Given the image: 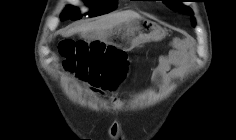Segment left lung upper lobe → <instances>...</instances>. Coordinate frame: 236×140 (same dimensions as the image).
Wrapping results in <instances>:
<instances>
[{
  "label": "left lung upper lobe",
  "mask_w": 236,
  "mask_h": 140,
  "mask_svg": "<svg viewBox=\"0 0 236 140\" xmlns=\"http://www.w3.org/2000/svg\"><path fill=\"white\" fill-rule=\"evenodd\" d=\"M181 2L182 0H164V3L167 4L169 8H171L174 11H177L179 13L193 15V12L190 8L187 6H184ZM195 21L192 18V24L194 25Z\"/></svg>",
  "instance_id": "left-lung-upper-lobe-1"
}]
</instances>
